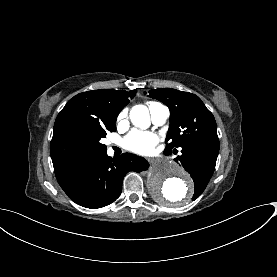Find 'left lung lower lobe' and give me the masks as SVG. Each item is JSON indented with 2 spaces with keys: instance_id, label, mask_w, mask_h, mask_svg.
<instances>
[{
  "instance_id": "obj_1",
  "label": "left lung lower lobe",
  "mask_w": 277,
  "mask_h": 277,
  "mask_svg": "<svg viewBox=\"0 0 277 277\" xmlns=\"http://www.w3.org/2000/svg\"><path fill=\"white\" fill-rule=\"evenodd\" d=\"M181 148L182 154L175 160H179L184 169L190 173L195 184V192L202 190V193L215 170L219 140L205 138L183 145Z\"/></svg>"
}]
</instances>
